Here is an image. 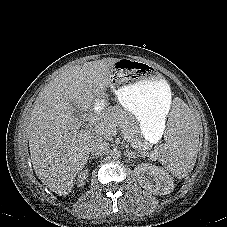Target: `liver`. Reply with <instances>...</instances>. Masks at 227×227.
I'll return each instance as SVG.
<instances>
[{"label":"liver","mask_w":227,"mask_h":227,"mask_svg":"<svg viewBox=\"0 0 227 227\" xmlns=\"http://www.w3.org/2000/svg\"><path fill=\"white\" fill-rule=\"evenodd\" d=\"M116 58H104L71 66L39 93L28 125V140L38 179L60 196L68 195L75 177L89 158L94 136L79 130L82 113H90L104 101Z\"/></svg>","instance_id":"liver-1"}]
</instances>
